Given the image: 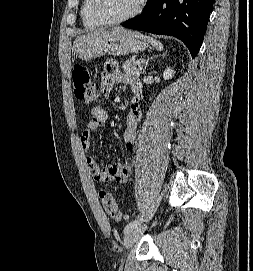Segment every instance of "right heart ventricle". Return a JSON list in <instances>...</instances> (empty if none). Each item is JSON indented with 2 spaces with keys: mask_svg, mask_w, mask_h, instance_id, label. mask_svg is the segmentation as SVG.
<instances>
[{
  "mask_svg": "<svg viewBox=\"0 0 253 271\" xmlns=\"http://www.w3.org/2000/svg\"><path fill=\"white\" fill-rule=\"evenodd\" d=\"M80 16L82 20V24L87 29H96L100 27L102 24L96 20L92 12V0H83Z\"/></svg>",
  "mask_w": 253,
  "mask_h": 271,
  "instance_id": "obj_1",
  "label": "right heart ventricle"
}]
</instances>
